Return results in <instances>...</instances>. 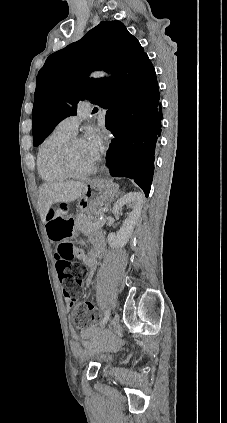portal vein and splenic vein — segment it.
<instances>
[{
    "label": "portal vein and splenic vein",
    "instance_id": "1",
    "mask_svg": "<svg viewBox=\"0 0 227 423\" xmlns=\"http://www.w3.org/2000/svg\"><path fill=\"white\" fill-rule=\"evenodd\" d=\"M103 211H108V208H103V210H100V213H103Z\"/></svg>",
    "mask_w": 227,
    "mask_h": 423
}]
</instances>
